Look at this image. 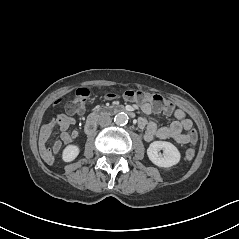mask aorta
<instances>
[{"instance_id": "1", "label": "aorta", "mask_w": 239, "mask_h": 239, "mask_svg": "<svg viewBox=\"0 0 239 239\" xmlns=\"http://www.w3.org/2000/svg\"><path fill=\"white\" fill-rule=\"evenodd\" d=\"M116 125L124 126L128 123V115L124 112L117 113L114 117Z\"/></svg>"}]
</instances>
